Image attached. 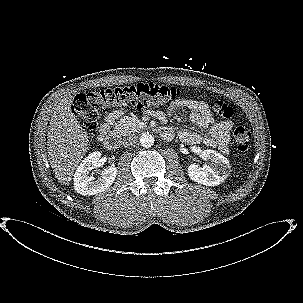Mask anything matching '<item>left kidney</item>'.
<instances>
[{
    "label": "left kidney",
    "mask_w": 303,
    "mask_h": 303,
    "mask_svg": "<svg viewBox=\"0 0 303 303\" xmlns=\"http://www.w3.org/2000/svg\"><path fill=\"white\" fill-rule=\"evenodd\" d=\"M191 150L199 154L203 160H210L211 162L210 166L205 168L190 164L188 166V176L191 180L206 186H216L228 177L230 165L223 155L211 149L201 150L197 146H192Z\"/></svg>",
    "instance_id": "left-kidney-1"
}]
</instances>
